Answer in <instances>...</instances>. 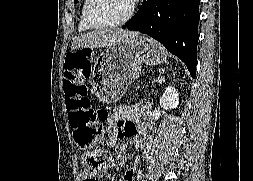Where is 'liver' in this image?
<instances>
[{"mask_svg": "<svg viewBox=\"0 0 253 181\" xmlns=\"http://www.w3.org/2000/svg\"><path fill=\"white\" fill-rule=\"evenodd\" d=\"M138 35V32L124 29L96 30L77 36L72 42L71 49L106 47L118 41H128Z\"/></svg>", "mask_w": 253, "mask_h": 181, "instance_id": "6515ba94", "label": "liver"}]
</instances>
